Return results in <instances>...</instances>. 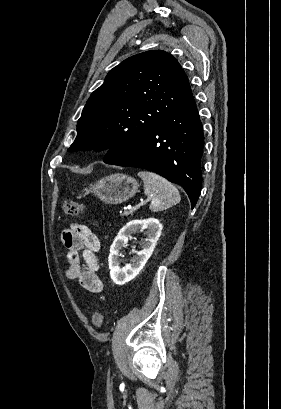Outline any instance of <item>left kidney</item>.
Returning <instances> with one entry per match:
<instances>
[{
	"mask_svg": "<svg viewBox=\"0 0 281 409\" xmlns=\"http://www.w3.org/2000/svg\"><path fill=\"white\" fill-rule=\"evenodd\" d=\"M147 239L142 245V251H134L138 257L132 259V263L126 265V267H120L121 261H119V253L122 247H125L128 243V237L131 233H138V231H145ZM163 225L159 223L158 219H140V221H130L125 227L120 229L115 241H113L110 247V255L108 257L110 277L116 285H126L129 281H132L134 277L139 275L144 265H146L149 257H151L155 245L161 237Z\"/></svg>",
	"mask_w": 281,
	"mask_h": 409,
	"instance_id": "left-kidney-1",
	"label": "left kidney"
}]
</instances>
